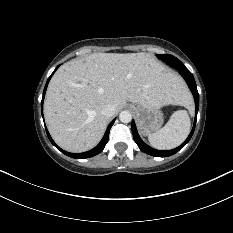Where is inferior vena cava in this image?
<instances>
[{
  "instance_id": "obj_1",
  "label": "inferior vena cava",
  "mask_w": 233,
  "mask_h": 233,
  "mask_svg": "<svg viewBox=\"0 0 233 233\" xmlns=\"http://www.w3.org/2000/svg\"><path fill=\"white\" fill-rule=\"evenodd\" d=\"M101 114L107 118L112 117L115 114V106L112 104L105 105L101 110Z\"/></svg>"
}]
</instances>
